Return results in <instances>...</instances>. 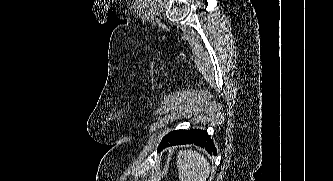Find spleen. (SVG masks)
<instances>
[{
    "instance_id": "3e777b00",
    "label": "spleen",
    "mask_w": 333,
    "mask_h": 181,
    "mask_svg": "<svg viewBox=\"0 0 333 181\" xmlns=\"http://www.w3.org/2000/svg\"><path fill=\"white\" fill-rule=\"evenodd\" d=\"M180 181H206L211 167L208 160L193 150H180L177 160Z\"/></svg>"
}]
</instances>
